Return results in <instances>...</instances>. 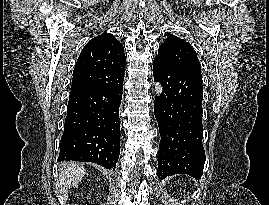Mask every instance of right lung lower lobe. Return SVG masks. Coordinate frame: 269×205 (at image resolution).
<instances>
[{
	"mask_svg": "<svg viewBox=\"0 0 269 205\" xmlns=\"http://www.w3.org/2000/svg\"><path fill=\"white\" fill-rule=\"evenodd\" d=\"M123 79L111 86L70 93L58 161L93 162L107 169L116 168Z\"/></svg>",
	"mask_w": 269,
	"mask_h": 205,
	"instance_id": "right-lung-lower-lobe-1",
	"label": "right lung lower lobe"
}]
</instances>
